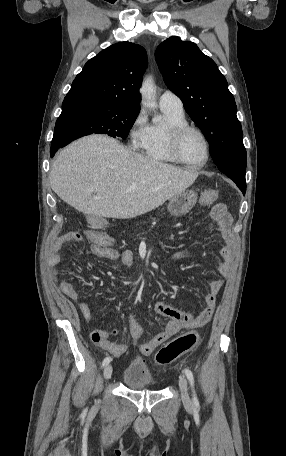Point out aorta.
I'll return each instance as SVG.
<instances>
[{"label": "aorta", "instance_id": "762f6f07", "mask_svg": "<svg viewBox=\"0 0 286 456\" xmlns=\"http://www.w3.org/2000/svg\"><path fill=\"white\" fill-rule=\"evenodd\" d=\"M140 93L142 96V102L145 106L147 107H154L156 105L155 103V85L153 82L152 77H146L143 82L142 86L140 88Z\"/></svg>", "mask_w": 286, "mask_h": 456}]
</instances>
